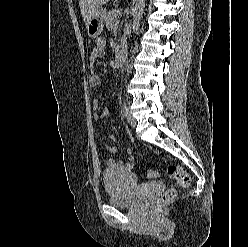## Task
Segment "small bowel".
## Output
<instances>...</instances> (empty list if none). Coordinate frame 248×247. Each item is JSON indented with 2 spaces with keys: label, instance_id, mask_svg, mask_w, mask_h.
<instances>
[{
  "label": "small bowel",
  "instance_id": "obj_1",
  "mask_svg": "<svg viewBox=\"0 0 248 247\" xmlns=\"http://www.w3.org/2000/svg\"><path fill=\"white\" fill-rule=\"evenodd\" d=\"M105 46H106V42L103 38H99L96 42V45L94 46V48L91 51V55H90V65H91V69L93 71H95V62L104 56L105 54ZM102 83V79L100 77V75H98L97 73L93 72L91 77H90V85L93 87H97L99 85H101ZM100 106V103L98 100H94L92 102V109L94 111H96ZM110 110L109 109H105L102 112H98L95 114L94 119L95 121H101L103 120L108 114H110ZM112 140H115L114 136H111ZM106 149L108 152H110L111 154H115L117 152V148L114 145H110V144H106L105 145ZM127 153V158L125 161L119 160V159H115V158H109L107 160V165L108 166H122L125 169L131 171L134 167V158L132 156V150L131 149H127L126 151Z\"/></svg>",
  "mask_w": 248,
  "mask_h": 247
}]
</instances>
